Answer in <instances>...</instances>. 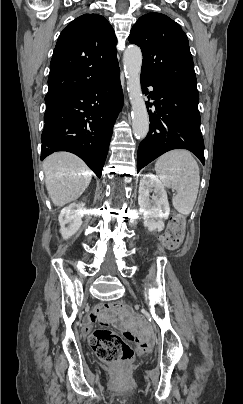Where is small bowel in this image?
I'll use <instances>...</instances> for the list:
<instances>
[{
    "label": "small bowel",
    "mask_w": 243,
    "mask_h": 404,
    "mask_svg": "<svg viewBox=\"0 0 243 404\" xmlns=\"http://www.w3.org/2000/svg\"><path fill=\"white\" fill-rule=\"evenodd\" d=\"M98 315L97 312L91 313L84 321L83 331L84 333H88L91 329L92 324L97 320Z\"/></svg>",
    "instance_id": "obj_1"
}]
</instances>
